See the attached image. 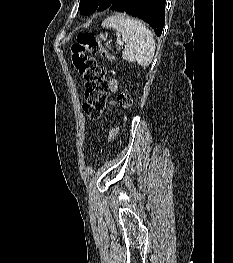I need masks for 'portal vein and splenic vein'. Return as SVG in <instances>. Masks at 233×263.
<instances>
[{
  "label": "portal vein and splenic vein",
  "instance_id": "obj_1",
  "mask_svg": "<svg viewBox=\"0 0 233 263\" xmlns=\"http://www.w3.org/2000/svg\"><path fill=\"white\" fill-rule=\"evenodd\" d=\"M117 42H119V43H120L121 41L118 39V40H117Z\"/></svg>",
  "mask_w": 233,
  "mask_h": 263
}]
</instances>
